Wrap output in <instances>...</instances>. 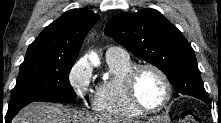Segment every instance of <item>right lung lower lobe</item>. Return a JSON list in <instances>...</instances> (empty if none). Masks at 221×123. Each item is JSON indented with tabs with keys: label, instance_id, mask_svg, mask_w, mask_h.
<instances>
[{
	"label": "right lung lower lobe",
	"instance_id": "98d812e1",
	"mask_svg": "<svg viewBox=\"0 0 221 123\" xmlns=\"http://www.w3.org/2000/svg\"><path fill=\"white\" fill-rule=\"evenodd\" d=\"M16 114H13V115H6V117H7V119L9 120V121H11L12 120V118L15 116Z\"/></svg>",
	"mask_w": 221,
	"mask_h": 123
}]
</instances>
